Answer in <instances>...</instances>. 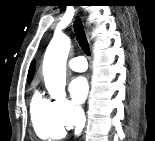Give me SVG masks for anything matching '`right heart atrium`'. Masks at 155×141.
Instances as JSON below:
<instances>
[{"label": "right heart atrium", "instance_id": "right-heart-atrium-1", "mask_svg": "<svg viewBox=\"0 0 155 141\" xmlns=\"http://www.w3.org/2000/svg\"><path fill=\"white\" fill-rule=\"evenodd\" d=\"M55 113L59 122L64 127H72L83 119L82 110L68 100L54 101Z\"/></svg>", "mask_w": 155, "mask_h": 141}]
</instances>
